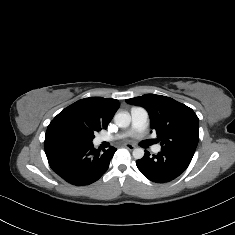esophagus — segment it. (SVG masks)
Returning a JSON list of instances; mask_svg holds the SVG:
<instances>
[{"label":"esophagus","instance_id":"obj_1","mask_svg":"<svg viewBox=\"0 0 235 235\" xmlns=\"http://www.w3.org/2000/svg\"><path fill=\"white\" fill-rule=\"evenodd\" d=\"M124 147L127 148L130 151L135 149V146L133 144H131V143H125Z\"/></svg>","mask_w":235,"mask_h":235}]
</instances>
